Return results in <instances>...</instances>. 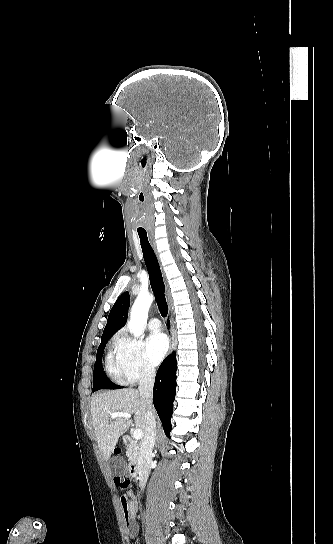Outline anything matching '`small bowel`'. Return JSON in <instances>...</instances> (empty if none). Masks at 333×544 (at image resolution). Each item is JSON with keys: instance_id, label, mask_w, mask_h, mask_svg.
Segmentation results:
<instances>
[{"instance_id": "small-bowel-1", "label": "small bowel", "mask_w": 333, "mask_h": 544, "mask_svg": "<svg viewBox=\"0 0 333 544\" xmlns=\"http://www.w3.org/2000/svg\"><path fill=\"white\" fill-rule=\"evenodd\" d=\"M120 503L126 519V529L130 537L138 534V524L136 521L137 503L132 492L121 496Z\"/></svg>"}]
</instances>
